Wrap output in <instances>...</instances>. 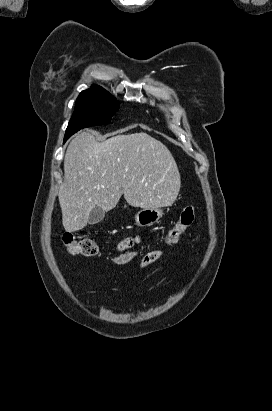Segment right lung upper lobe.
I'll use <instances>...</instances> for the list:
<instances>
[{
  "label": "right lung upper lobe",
  "mask_w": 272,
  "mask_h": 411,
  "mask_svg": "<svg viewBox=\"0 0 272 411\" xmlns=\"http://www.w3.org/2000/svg\"><path fill=\"white\" fill-rule=\"evenodd\" d=\"M104 90L103 88L99 87V86H92L90 89H88L87 91H83L84 92H96V91H102Z\"/></svg>",
  "instance_id": "right-lung-upper-lobe-1"
}]
</instances>
